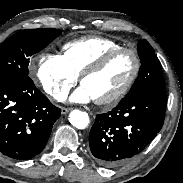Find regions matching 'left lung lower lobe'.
Here are the masks:
<instances>
[{"label": "left lung lower lobe", "instance_id": "1", "mask_svg": "<svg viewBox=\"0 0 183 183\" xmlns=\"http://www.w3.org/2000/svg\"><path fill=\"white\" fill-rule=\"evenodd\" d=\"M165 108V91H142L97 115L89 134L94 160L112 167L139 154L161 130Z\"/></svg>", "mask_w": 183, "mask_h": 183}]
</instances>
